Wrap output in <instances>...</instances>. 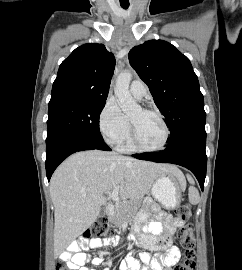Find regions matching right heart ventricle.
Instances as JSON below:
<instances>
[{"instance_id":"e07e8e85","label":"right heart ventricle","mask_w":242,"mask_h":270,"mask_svg":"<svg viewBox=\"0 0 242 270\" xmlns=\"http://www.w3.org/2000/svg\"><path fill=\"white\" fill-rule=\"evenodd\" d=\"M119 149L124 152L134 150L133 145L131 143L130 128L124 140L119 144Z\"/></svg>"}]
</instances>
